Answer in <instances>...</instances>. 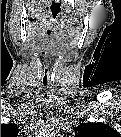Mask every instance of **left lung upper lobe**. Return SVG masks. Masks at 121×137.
Listing matches in <instances>:
<instances>
[{
    "instance_id": "left-lung-upper-lobe-1",
    "label": "left lung upper lobe",
    "mask_w": 121,
    "mask_h": 137,
    "mask_svg": "<svg viewBox=\"0 0 121 137\" xmlns=\"http://www.w3.org/2000/svg\"><path fill=\"white\" fill-rule=\"evenodd\" d=\"M78 135L81 136H96V135H107L109 132H112L110 127L103 123H83L78 126ZM116 133L113 130V134Z\"/></svg>"
}]
</instances>
